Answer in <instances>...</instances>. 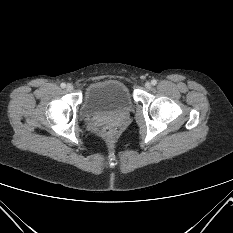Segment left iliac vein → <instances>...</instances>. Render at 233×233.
<instances>
[{"mask_svg": "<svg viewBox=\"0 0 233 233\" xmlns=\"http://www.w3.org/2000/svg\"><path fill=\"white\" fill-rule=\"evenodd\" d=\"M151 86H152V85H151V83H150V82H146V83H145V88H146V89H150V88H151Z\"/></svg>", "mask_w": 233, "mask_h": 233, "instance_id": "4c4485c4", "label": "left iliac vein"}]
</instances>
